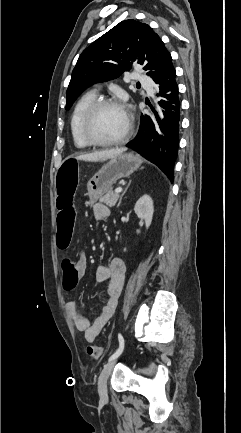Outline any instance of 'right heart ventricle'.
I'll return each mask as SVG.
<instances>
[{"label":"right heart ventricle","mask_w":241,"mask_h":433,"mask_svg":"<svg viewBox=\"0 0 241 433\" xmlns=\"http://www.w3.org/2000/svg\"><path fill=\"white\" fill-rule=\"evenodd\" d=\"M96 101V95L93 92L84 94L75 104L70 121L71 135L73 143L77 148L85 149L91 144L85 139L82 132V121L89 107Z\"/></svg>","instance_id":"1"}]
</instances>
